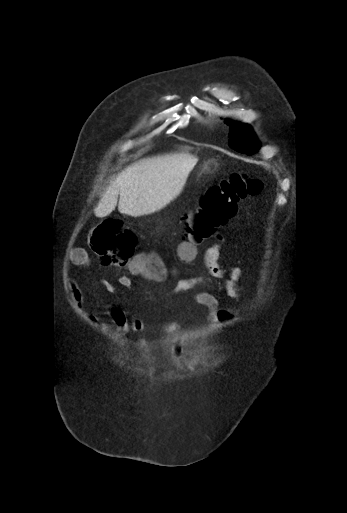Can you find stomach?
Returning <instances> with one entry per match:
<instances>
[{
  "label": "stomach",
  "instance_id": "1",
  "mask_svg": "<svg viewBox=\"0 0 347 513\" xmlns=\"http://www.w3.org/2000/svg\"><path fill=\"white\" fill-rule=\"evenodd\" d=\"M218 164L214 160H208L202 168V172H214L217 170Z\"/></svg>",
  "mask_w": 347,
  "mask_h": 513
}]
</instances>
